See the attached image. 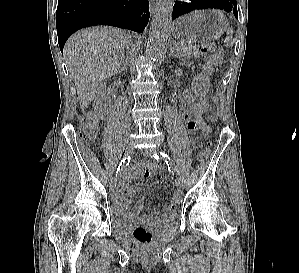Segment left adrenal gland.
I'll list each match as a JSON object with an SVG mask.
<instances>
[{
  "label": "left adrenal gland",
  "mask_w": 299,
  "mask_h": 273,
  "mask_svg": "<svg viewBox=\"0 0 299 273\" xmlns=\"http://www.w3.org/2000/svg\"><path fill=\"white\" fill-rule=\"evenodd\" d=\"M176 55H177V53L175 52L174 45H173V46H171V49H170V52H169V56H176Z\"/></svg>",
  "instance_id": "obj_1"
}]
</instances>
